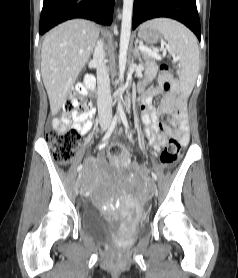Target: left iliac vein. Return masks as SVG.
I'll return each mask as SVG.
<instances>
[{"mask_svg": "<svg viewBox=\"0 0 238 278\" xmlns=\"http://www.w3.org/2000/svg\"><path fill=\"white\" fill-rule=\"evenodd\" d=\"M155 185V184H154ZM155 196L156 197H159V191H158V188H157V190L155 191Z\"/></svg>", "mask_w": 238, "mask_h": 278, "instance_id": "1", "label": "left iliac vein"}]
</instances>
